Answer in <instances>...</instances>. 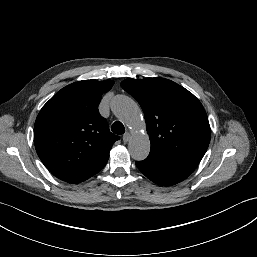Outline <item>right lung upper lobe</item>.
Returning a JSON list of instances; mask_svg holds the SVG:
<instances>
[{
	"label": "right lung upper lobe",
	"mask_w": 257,
	"mask_h": 257,
	"mask_svg": "<svg viewBox=\"0 0 257 257\" xmlns=\"http://www.w3.org/2000/svg\"><path fill=\"white\" fill-rule=\"evenodd\" d=\"M112 80H84L58 91L41 109L34 126L35 148L46 168L69 183H79L107 163L118 136L98 111Z\"/></svg>",
	"instance_id": "obj_1"
}]
</instances>
